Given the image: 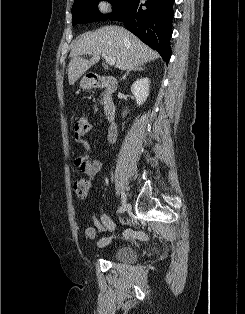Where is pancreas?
<instances>
[{"label": "pancreas", "instance_id": "1", "mask_svg": "<svg viewBox=\"0 0 245 314\" xmlns=\"http://www.w3.org/2000/svg\"><path fill=\"white\" fill-rule=\"evenodd\" d=\"M107 100H106V96H104L102 99H101V103H104L106 104Z\"/></svg>", "mask_w": 245, "mask_h": 314}]
</instances>
